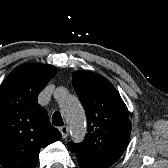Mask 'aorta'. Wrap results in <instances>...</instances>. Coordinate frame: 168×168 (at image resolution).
I'll use <instances>...</instances> for the list:
<instances>
[{"mask_svg":"<svg viewBox=\"0 0 168 168\" xmlns=\"http://www.w3.org/2000/svg\"><path fill=\"white\" fill-rule=\"evenodd\" d=\"M54 96L61 105L72 139L76 142L82 141L86 134V122L84 111L78 99L70 95L64 87L57 88Z\"/></svg>","mask_w":168,"mask_h":168,"instance_id":"aorta-1","label":"aorta"}]
</instances>
